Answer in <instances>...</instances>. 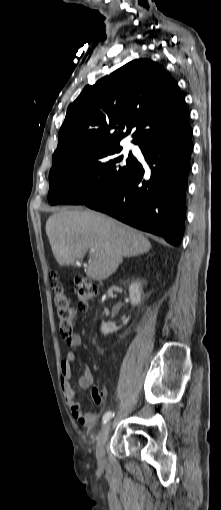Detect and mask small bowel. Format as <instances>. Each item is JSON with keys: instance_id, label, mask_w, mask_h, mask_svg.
Instances as JSON below:
<instances>
[{"instance_id": "1", "label": "small bowel", "mask_w": 221, "mask_h": 510, "mask_svg": "<svg viewBox=\"0 0 221 510\" xmlns=\"http://www.w3.org/2000/svg\"><path fill=\"white\" fill-rule=\"evenodd\" d=\"M67 344L73 350L66 353L61 362V386L65 396V400L71 409L73 417L82 425L92 427L96 424L100 414L99 412H87L82 408V405L77 400V392L71 385L72 378V363L76 360L77 353L82 345V337L79 334H74L67 339ZM94 377L91 369L85 365L82 374L77 379V386L81 389H87L93 385ZM103 400H105V393L101 392Z\"/></svg>"}]
</instances>
